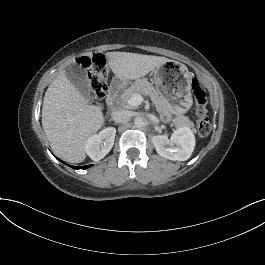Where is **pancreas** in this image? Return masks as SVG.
I'll return each mask as SVG.
<instances>
[{
	"label": "pancreas",
	"instance_id": "1",
	"mask_svg": "<svg viewBox=\"0 0 265 265\" xmlns=\"http://www.w3.org/2000/svg\"><path fill=\"white\" fill-rule=\"evenodd\" d=\"M135 94H143L149 96L156 107L162 109L164 116H169L170 105L167 103V100L160 96L153 85L148 82L146 79H141L135 81L132 86L122 95L121 99L124 104L130 99L131 96ZM173 122L177 127H187L195 130V125L192 120H189L186 117H178Z\"/></svg>",
	"mask_w": 265,
	"mask_h": 265
}]
</instances>
